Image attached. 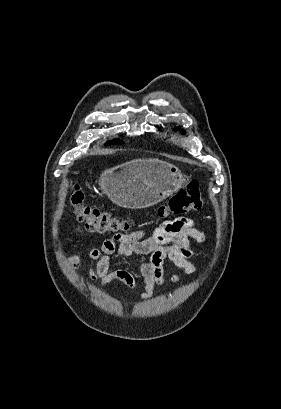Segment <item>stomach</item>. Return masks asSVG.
Here are the masks:
<instances>
[{
    "mask_svg": "<svg viewBox=\"0 0 281 409\" xmlns=\"http://www.w3.org/2000/svg\"><path fill=\"white\" fill-rule=\"evenodd\" d=\"M99 184L118 207L146 209L190 184V180L167 160L134 158L103 170Z\"/></svg>",
    "mask_w": 281,
    "mask_h": 409,
    "instance_id": "obj_1",
    "label": "stomach"
}]
</instances>
